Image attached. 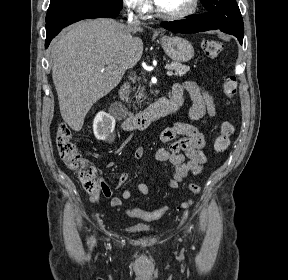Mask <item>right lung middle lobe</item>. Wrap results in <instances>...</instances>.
Masks as SVG:
<instances>
[{"instance_id":"right-lung-middle-lobe-1","label":"right lung middle lobe","mask_w":288,"mask_h":280,"mask_svg":"<svg viewBox=\"0 0 288 280\" xmlns=\"http://www.w3.org/2000/svg\"><path fill=\"white\" fill-rule=\"evenodd\" d=\"M66 0H51L50 2V6H53L55 4H58V3H61V2H64ZM101 2H104L106 4H109L113 7H116V8H120L122 9V5H123V1L122 0H99Z\"/></svg>"}]
</instances>
